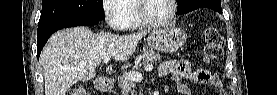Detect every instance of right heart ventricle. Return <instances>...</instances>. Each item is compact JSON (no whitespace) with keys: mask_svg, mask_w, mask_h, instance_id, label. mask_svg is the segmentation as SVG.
<instances>
[{"mask_svg":"<svg viewBox=\"0 0 277 95\" xmlns=\"http://www.w3.org/2000/svg\"><path fill=\"white\" fill-rule=\"evenodd\" d=\"M136 0H125L121 4V7L125 11V16L123 19L124 27L136 28L143 26V22L139 19L137 12L135 10Z\"/></svg>","mask_w":277,"mask_h":95,"instance_id":"e07e8e85","label":"right heart ventricle"}]
</instances>
